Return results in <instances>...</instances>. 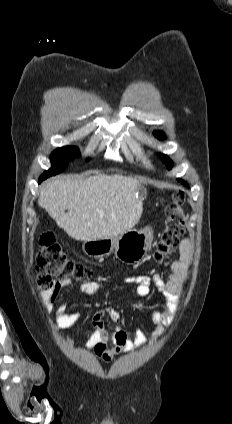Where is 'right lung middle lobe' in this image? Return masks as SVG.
Here are the masks:
<instances>
[{
  "label": "right lung middle lobe",
  "instance_id": "dd1d6c3e",
  "mask_svg": "<svg viewBox=\"0 0 232 424\" xmlns=\"http://www.w3.org/2000/svg\"><path fill=\"white\" fill-rule=\"evenodd\" d=\"M78 156H80L79 149L74 146H65L56 149L51 155L52 168L45 171L39 179L44 180L49 176L62 172L65 169L66 163Z\"/></svg>",
  "mask_w": 232,
  "mask_h": 424
}]
</instances>
